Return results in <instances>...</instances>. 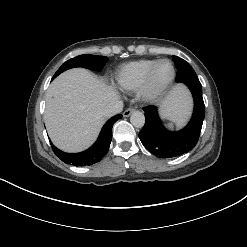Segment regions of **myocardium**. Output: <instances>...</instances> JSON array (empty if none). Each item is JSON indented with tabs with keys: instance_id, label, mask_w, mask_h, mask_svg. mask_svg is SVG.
<instances>
[{
	"instance_id": "f54148a6",
	"label": "myocardium",
	"mask_w": 247,
	"mask_h": 247,
	"mask_svg": "<svg viewBox=\"0 0 247 247\" xmlns=\"http://www.w3.org/2000/svg\"><path fill=\"white\" fill-rule=\"evenodd\" d=\"M163 61H166L170 64L171 66V76L169 80L160 88L154 89L151 87V78L152 74L157 67V65ZM175 66L173 62L167 58H161L156 60L146 71L138 89H137V94L138 97L144 101V102H154L161 98L166 91L169 89V87L172 85L174 79H175Z\"/></svg>"
}]
</instances>
